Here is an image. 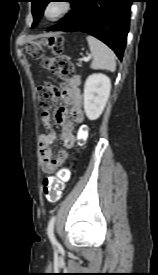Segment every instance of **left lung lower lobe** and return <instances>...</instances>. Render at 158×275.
I'll use <instances>...</instances> for the list:
<instances>
[{"label": "left lung lower lobe", "mask_w": 158, "mask_h": 275, "mask_svg": "<svg viewBox=\"0 0 158 275\" xmlns=\"http://www.w3.org/2000/svg\"><path fill=\"white\" fill-rule=\"evenodd\" d=\"M72 10L52 31H81L108 45L121 60L133 0H70Z\"/></svg>", "instance_id": "obj_1"}]
</instances>
